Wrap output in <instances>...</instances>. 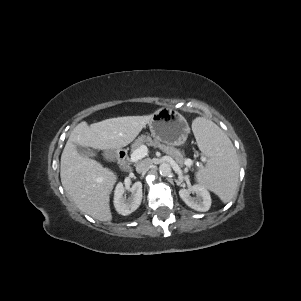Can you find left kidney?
Listing matches in <instances>:
<instances>
[{"mask_svg":"<svg viewBox=\"0 0 301 301\" xmlns=\"http://www.w3.org/2000/svg\"><path fill=\"white\" fill-rule=\"evenodd\" d=\"M191 193L196 194V197H192ZM179 196L186 205L196 211L206 212L210 209L211 196L203 185L196 184L190 188L181 189Z\"/></svg>","mask_w":301,"mask_h":301,"instance_id":"left-kidney-1","label":"left kidney"}]
</instances>
